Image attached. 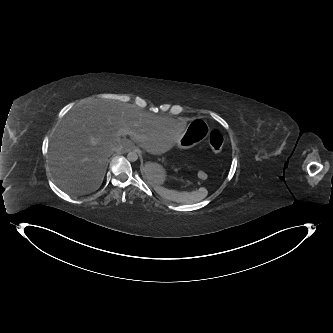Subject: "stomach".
<instances>
[{
	"mask_svg": "<svg viewBox=\"0 0 333 333\" xmlns=\"http://www.w3.org/2000/svg\"><path fill=\"white\" fill-rule=\"evenodd\" d=\"M209 131L210 127L204 120H194L190 123L188 130L182 135L177 146L181 149L191 148L207 137ZM142 174L147 184L152 187L166 188L173 181L171 172L165 165L157 161L147 163L143 168Z\"/></svg>",
	"mask_w": 333,
	"mask_h": 333,
	"instance_id": "0dacf381",
	"label": "stomach"
}]
</instances>
